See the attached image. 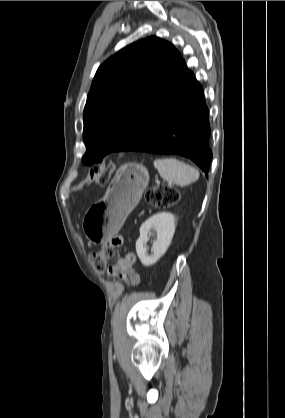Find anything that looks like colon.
Listing matches in <instances>:
<instances>
[{
    "instance_id": "1",
    "label": "colon",
    "mask_w": 285,
    "mask_h": 418,
    "mask_svg": "<svg viewBox=\"0 0 285 418\" xmlns=\"http://www.w3.org/2000/svg\"><path fill=\"white\" fill-rule=\"evenodd\" d=\"M113 170V165L95 168L90 172L91 180L96 181L100 186H106L109 183V176ZM180 194L178 190L159 184L149 188L145 193V200L148 204L156 208H164L176 205ZM114 251L110 246H105L89 255V260L93 267L104 272L107 269L108 261L113 257ZM130 263H134L133 255L129 256Z\"/></svg>"
}]
</instances>
